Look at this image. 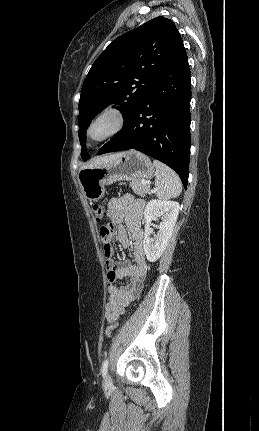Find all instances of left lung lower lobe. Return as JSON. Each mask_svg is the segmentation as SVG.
Returning a JSON list of instances; mask_svg holds the SVG:
<instances>
[{
	"mask_svg": "<svg viewBox=\"0 0 259 431\" xmlns=\"http://www.w3.org/2000/svg\"><path fill=\"white\" fill-rule=\"evenodd\" d=\"M191 74L184 45L164 68L123 128L98 154L135 149L165 163L187 187Z\"/></svg>",
	"mask_w": 259,
	"mask_h": 431,
	"instance_id": "0a47b994",
	"label": "left lung lower lobe"
}]
</instances>
